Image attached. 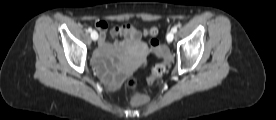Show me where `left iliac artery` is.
<instances>
[{
	"instance_id": "left-iliac-artery-1",
	"label": "left iliac artery",
	"mask_w": 276,
	"mask_h": 120,
	"mask_svg": "<svg viewBox=\"0 0 276 120\" xmlns=\"http://www.w3.org/2000/svg\"><path fill=\"white\" fill-rule=\"evenodd\" d=\"M171 32L176 33V32H177V27H173V28L171 29Z\"/></svg>"
}]
</instances>
